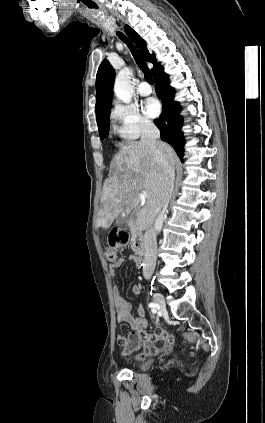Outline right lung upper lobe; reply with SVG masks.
I'll return each instance as SVG.
<instances>
[{"mask_svg":"<svg viewBox=\"0 0 265 423\" xmlns=\"http://www.w3.org/2000/svg\"><path fill=\"white\" fill-rule=\"evenodd\" d=\"M125 32L144 54L146 60L154 64L152 69L153 75L161 65L157 63L155 56L149 53L145 41L141 39L131 27L125 25ZM114 78L115 70L112 68L108 60H103L96 77V116L98 124L101 123L102 119L110 113Z\"/></svg>","mask_w":265,"mask_h":423,"instance_id":"1","label":"right lung upper lobe"}]
</instances>
